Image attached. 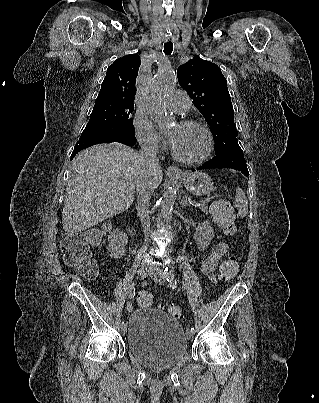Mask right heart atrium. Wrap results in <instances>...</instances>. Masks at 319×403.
Segmentation results:
<instances>
[{"instance_id":"obj_1","label":"right heart atrium","mask_w":319,"mask_h":403,"mask_svg":"<svg viewBox=\"0 0 319 403\" xmlns=\"http://www.w3.org/2000/svg\"><path fill=\"white\" fill-rule=\"evenodd\" d=\"M134 130L139 144L150 152H158L162 147V141L149 118L142 112H137L134 117Z\"/></svg>"}]
</instances>
